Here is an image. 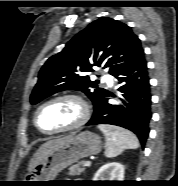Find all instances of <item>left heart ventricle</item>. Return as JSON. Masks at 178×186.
<instances>
[{"label":"left heart ventricle","instance_id":"obj_1","mask_svg":"<svg viewBox=\"0 0 178 186\" xmlns=\"http://www.w3.org/2000/svg\"><path fill=\"white\" fill-rule=\"evenodd\" d=\"M81 115L80 105L71 99H63L44 106L38 115V123L44 131H54L76 122Z\"/></svg>","mask_w":178,"mask_h":186}]
</instances>
